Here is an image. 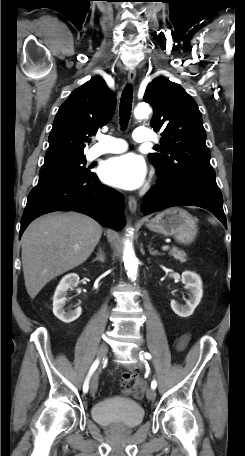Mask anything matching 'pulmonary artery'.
<instances>
[{
	"mask_svg": "<svg viewBox=\"0 0 245 456\" xmlns=\"http://www.w3.org/2000/svg\"><path fill=\"white\" fill-rule=\"evenodd\" d=\"M133 139L136 142H147L152 140V133L147 128L139 127L133 132ZM97 143L89 151V159H95L104 154L121 153L127 149L124 140L109 135H100Z\"/></svg>",
	"mask_w": 245,
	"mask_h": 456,
	"instance_id": "pulmonary-artery-1",
	"label": "pulmonary artery"
}]
</instances>
